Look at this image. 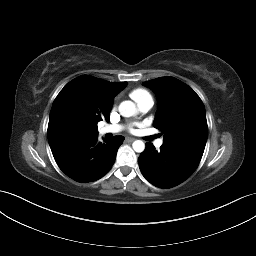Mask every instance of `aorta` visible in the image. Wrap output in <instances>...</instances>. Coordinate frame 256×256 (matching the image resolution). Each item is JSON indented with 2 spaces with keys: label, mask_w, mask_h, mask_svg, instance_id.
Wrapping results in <instances>:
<instances>
[{
  "label": "aorta",
  "mask_w": 256,
  "mask_h": 256,
  "mask_svg": "<svg viewBox=\"0 0 256 256\" xmlns=\"http://www.w3.org/2000/svg\"><path fill=\"white\" fill-rule=\"evenodd\" d=\"M119 113L123 117H131L134 116L137 113V109L135 104L132 101H123L119 105ZM132 147L135 152L141 153L145 149V144L141 140H136L133 142Z\"/></svg>",
  "instance_id": "aorta-1"
}]
</instances>
